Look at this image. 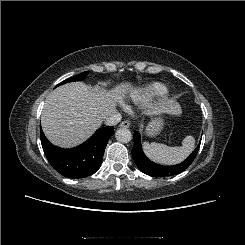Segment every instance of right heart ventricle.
Segmentation results:
<instances>
[{"mask_svg": "<svg viewBox=\"0 0 245 245\" xmlns=\"http://www.w3.org/2000/svg\"><path fill=\"white\" fill-rule=\"evenodd\" d=\"M167 88L160 83H153L145 88L138 89L131 93V99L135 103H140L152 97H162L167 94Z\"/></svg>", "mask_w": 245, "mask_h": 245, "instance_id": "right-heart-ventricle-1", "label": "right heart ventricle"}]
</instances>
